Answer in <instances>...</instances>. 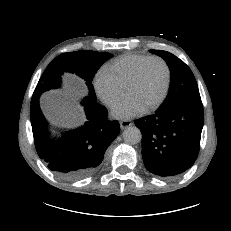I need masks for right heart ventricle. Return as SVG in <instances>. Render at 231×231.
Masks as SVG:
<instances>
[{
  "instance_id": "right-heart-ventricle-1",
  "label": "right heart ventricle",
  "mask_w": 231,
  "mask_h": 231,
  "mask_svg": "<svg viewBox=\"0 0 231 231\" xmlns=\"http://www.w3.org/2000/svg\"><path fill=\"white\" fill-rule=\"evenodd\" d=\"M149 57L151 56L138 53L125 54L114 59L104 68L114 77L118 85L125 90L137 67Z\"/></svg>"
}]
</instances>
